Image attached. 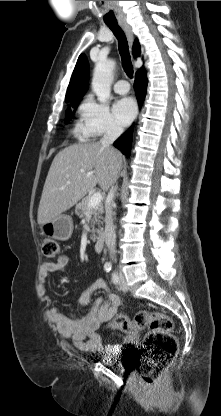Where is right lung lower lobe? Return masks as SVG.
Masks as SVG:
<instances>
[{"mask_svg":"<svg viewBox=\"0 0 221 416\" xmlns=\"http://www.w3.org/2000/svg\"><path fill=\"white\" fill-rule=\"evenodd\" d=\"M147 82L148 81L144 71H140L136 74L134 88L139 102V106H142V103L145 99ZM131 142L132 127L114 142V146L128 157L130 154Z\"/></svg>","mask_w":221,"mask_h":416,"instance_id":"obj_1","label":"right lung lower lobe"}]
</instances>
